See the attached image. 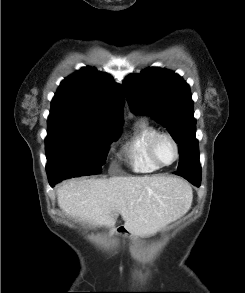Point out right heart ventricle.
Instances as JSON below:
<instances>
[{
    "mask_svg": "<svg viewBox=\"0 0 245 293\" xmlns=\"http://www.w3.org/2000/svg\"><path fill=\"white\" fill-rule=\"evenodd\" d=\"M157 132L158 129L146 120H139L134 125L125 146L127 163L134 172L151 173L160 168L149 155L150 141Z\"/></svg>",
    "mask_w": 245,
    "mask_h": 293,
    "instance_id": "obj_1",
    "label": "right heart ventricle"
}]
</instances>
